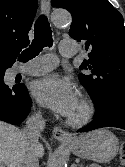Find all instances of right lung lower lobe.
I'll return each mask as SVG.
<instances>
[{"mask_svg": "<svg viewBox=\"0 0 125 167\" xmlns=\"http://www.w3.org/2000/svg\"><path fill=\"white\" fill-rule=\"evenodd\" d=\"M3 74L5 73L2 72ZM32 100L24 84L8 87L0 84V120L20 124L31 110Z\"/></svg>", "mask_w": 125, "mask_h": 167, "instance_id": "98d812e1", "label": "right lung lower lobe"}]
</instances>
